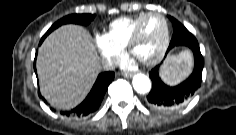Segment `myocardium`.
Wrapping results in <instances>:
<instances>
[{
  "label": "myocardium",
  "instance_id": "f54148a6",
  "mask_svg": "<svg viewBox=\"0 0 236 135\" xmlns=\"http://www.w3.org/2000/svg\"><path fill=\"white\" fill-rule=\"evenodd\" d=\"M151 16H157L162 20L163 25H164V38H163V42H162L159 50L157 51V53L154 56H152L148 59L139 60L141 63L146 64V65L156 64L157 62H159L163 58V56L165 55V53L167 51V48H168L169 42H170V30H169V24H168V21L166 20V18L161 13H158V12L145 13V15L136 24V26L129 38V41L126 45L127 52L129 54H131L132 56H134L133 50L140 39L142 26H143L144 22L146 21V19Z\"/></svg>",
  "mask_w": 236,
  "mask_h": 135
}]
</instances>
